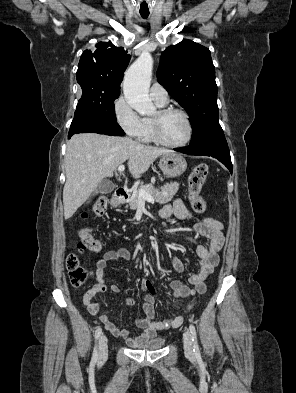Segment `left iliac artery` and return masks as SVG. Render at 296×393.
<instances>
[{"instance_id":"obj_1","label":"left iliac artery","mask_w":296,"mask_h":393,"mask_svg":"<svg viewBox=\"0 0 296 393\" xmlns=\"http://www.w3.org/2000/svg\"><path fill=\"white\" fill-rule=\"evenodd\" d=\"M189 329H190V332L192 334V341L194 343V349L193 350H194L196 355H199L200 354V350H199V346H198V343H197L195 326L193 324H191Z\"/></svg>"}]
</instances>
